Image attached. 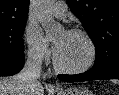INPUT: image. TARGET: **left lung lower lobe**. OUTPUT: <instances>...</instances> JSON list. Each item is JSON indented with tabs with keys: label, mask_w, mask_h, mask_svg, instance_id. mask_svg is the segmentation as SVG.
<instances>
[{
	"label": "left lung lower lobe",
	"mask_w": 119,
	"mask_h": 95,
	"mask_svg": "<svg viewBox=\"0 0 119 95\" xmlns=\"http://www.w3.org/2000/svg\"><path fill=\"white\" fill-rule=\"evenodd\" d=\"M58 78L62 81L67 82H82L89 80H105V79H119V62H116L110 68L99 71L91 68L85 73L77 74V75H58Z\"/></svg>",
	"instance_id": "obj_1"
}]
</instances>
